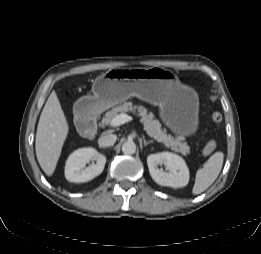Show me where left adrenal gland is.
Masks as SVG:
<instances>
[{
	"mask_svg": "<svg viewBox=\"0 0 261 254\" xmlns=\"http://www.w3.org/2000/svg\"><path fill=\"white\" fill-rule=\"evenodd\" d=\"M151 143H153L152 140L146 141L145 138H143V144H144V146H147L148 144H151Z\"/></svg>",
	"mask_w": 261,
	"mask_h": 254,
	"instance_id": "a2214340",
	"label": "left adrenal gland"
}]
</instances>
